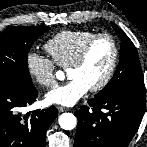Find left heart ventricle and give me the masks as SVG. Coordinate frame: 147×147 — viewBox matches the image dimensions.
<instances>
[{"instance_id":"left-heart-ventricle-1","label":"left heart ventricle","mask_w":147,"mask_h":147,"mask_svg":"<svg viewBox=\"0 0 147 147\" xmlns=\"http://www.w3.org/2000/svg\"><path fill=\"white\" fill-rule=\"evenodd\" d=\"M113 57V47L109 39H99L91 48L84 64L67 70L69 79H80L89 88L98 84L106 75Z\"/></svg>"}]
</instances>
